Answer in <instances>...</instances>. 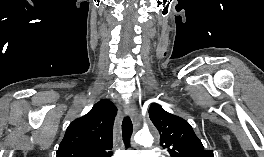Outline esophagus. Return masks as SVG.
Returning a JSON list of instances; mask_svg holds the SVG:
<instances>
[{
  "mask_svg": "<svg viewBox=\"0 0 264 157\" xmlns=\"http://www.w3.org/2000/svg\"><path fill=\"white\" fill-rule=\"evenodd\" d=\"M125 113L133 118L136 116V107L132 102L125 106Z\"/></svg>",
  "mask_w": 264,
  "mask_h": 157,
  "instance_id": "esophagus-1",
  "label": "esophagus"
}]
</instances>
